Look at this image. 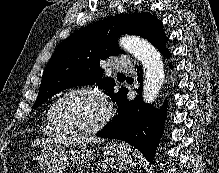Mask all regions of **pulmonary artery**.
Wrapping results in <instances>:
<instances>
[{
    "label": "pulmonary artery",
    "instance_id": "e3ab8cb5",
    "mask_svg": "<svg viewBox=\"0 0 219 173\" xmlns=\"http://www.w3.org/2000/svg\"><path fill=\"white\" fill-rule=\"evenodd\" d=\"M112 65L117 71L128 72L132 70V63L127 58H116L113 60Z\"/></svg>",
    "mask_w": 219,
    "mask_h": 173
}]
</instances>
